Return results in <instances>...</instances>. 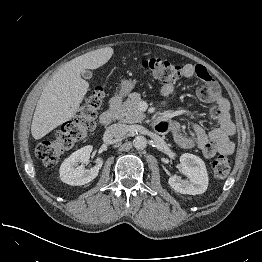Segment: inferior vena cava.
<instances>
[{
  "mask_svg": "<svg viewBox=\"0 0 262 262\" xmlns=\"http://www.w3.org/2000/svg\"><path fill=\"white\" fill-rule=\"evenodd\" d=\"M108 133L115 138L123 137L127 134L128 128L124 124H113L108 127Z\"/></svg>",
  "mask_w": 262,
  "mask_h": 262,
  "instance_id": "602c4592",
  "label": "inferior vena cava"
}]
</instances>
